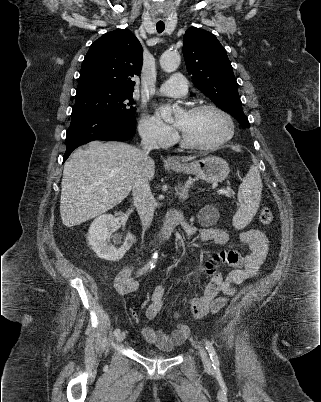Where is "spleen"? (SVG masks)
<instances>
[{"label":"spleen","mask_w":321,"mask_h":402,"mask_svg":"<svg viewBox=\"0 0 321 402\" xmlns=\"http://www.w3.org/2000/svg\"><path fill=\"white\" fill-rule=\"evenodd\" d=\"M262 192V181L258 168L252 165L238 190L239 209L233 217L232 224L236 229L246 227L255 216Z\"/></svg>","instance_id":"3e777b00"}]
</instances>
